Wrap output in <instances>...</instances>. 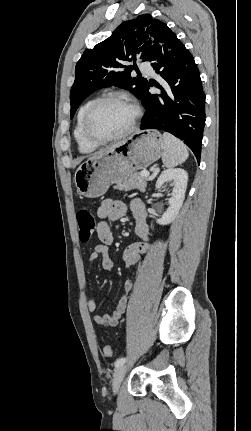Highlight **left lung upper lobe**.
Returning <instances> with one entry per match:
<instances>
[{
  "label": "left lung upper lobe",
  "mask_w": 251,
  "mask_h": 431,
  "mask_svg": "<svg viewBox=\"0 0 251 431\" xmlns=\"http://www.w3.org/2000/svg\"><path fill=\"white\" fill-rule=\"evenodd\" d=\"M173 33L165 23L143 14L123 22L112 35L86 50L76 64L70 92L71 118L79 105L94 91L117 86L142 99L148 86L144 78H132L128 62L150 61L154 49Z\"/></svg>",
  "instance_id": "1"
}]
</instances>
